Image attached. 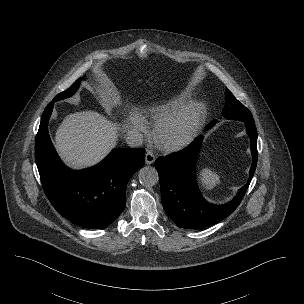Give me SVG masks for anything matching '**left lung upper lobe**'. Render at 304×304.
Wrapping results in <instances>:
<instances>
[{
	"label": "left lung upper lobe",
	"instance_id": "1",
	"mask_svg": "<svg viewBox=\"0 0 304 304\" xmlns=\"http://www.w3.org/2000/svg\"><path fill=\"white\" fill-rule=\"evenodd\" d=\"M225 98V107L222 112L225 118L254 122L251 112L228 89H226ZM213 122L216 123L217 120H213Z\"/></svg>",
	"mask_w": 304,
	"mask_h": 304
}]
</instances>
